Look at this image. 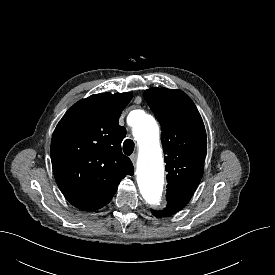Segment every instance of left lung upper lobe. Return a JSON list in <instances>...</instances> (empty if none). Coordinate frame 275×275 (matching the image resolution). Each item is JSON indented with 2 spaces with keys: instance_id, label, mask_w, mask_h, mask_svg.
Instances as JSON below:
<instances>
[{
  "instance_id": "left-lung-upper-lobe-1",
  "label": "left lung upper lobe",
  "mask_w": 275,
  "mask_h": 275,
  "mask_svg": "<svg viewBox=\"0 0 275 275\" xmlns=\"http://www.w3.org/2000/svg\"><path fill=\"white\" fill-rule=\"evenodd\" d=\"M145 99L161 124L167 174L166 196L194 194L203 175L207 136L191 98L181 90L151 88Z\"/></svg>"
}]
</instances>
